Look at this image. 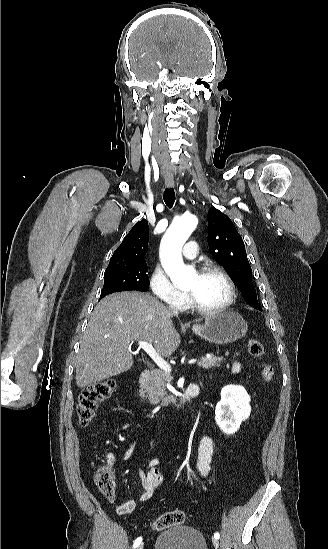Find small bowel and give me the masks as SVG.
Segmentation results:
<instances>
[{
  "instance_id": "1",
  "label": "small bowel",
  "mask_w": 328,
  "mask_h": 549,
  "mask_svg": "<svg viewBox=\"0 0 328 549\" xmlns=\"http://www.w3.org/2000/svg\"><path fill=\"white\" fill-rule=\"evenodd\" d=\"M240 370L241 365L238 362L233 363L232 371L234 373H239ZM134 448L135 442L130 443L123 453V458L128 459L133 453ZM213 452L214 441L212 437L208 435L203 436L197 449V469L203 477H206L210 472ZM103 459L107 468L112 470L116 464L115 455L107 453L104 455ZM160 463L161 460L159 458H152L147 462L145 468L139 471V479L142 487V493L139 497L140 502L149 501L155 492L164 484V479L158 469ZM136 506L137 503L134 500H125L122 505L118 507V512L119 514L130 513L135 510Z\"/></svg>"
}]
</instances>
